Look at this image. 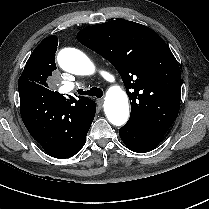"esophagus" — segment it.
Returning a JSON list of instances; mask_svg holds the SVG:
<instances>
[{
  "label": "esophagus",
  "instance_id": "esophagus-1",
  "mask_svg": "<svg viewBox=\"0 0 209 209\" xmlns=\"http://www.w3.org/2000/svg\"><path fill=\"white\" fill-rule=\"evenodd\" d=\"M102 104H103V99H97V105L99 107H102Z\"/></svg>",
  "mask_w": 209,
  "mask_h": 209
}]
</instances>
